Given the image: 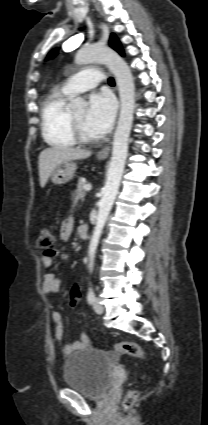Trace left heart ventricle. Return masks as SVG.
<instances>
[{
	"label": "left heart ventricle",
	"instance_id": "b2bd125f",
	"mask_svg": "<svg viewBox=\"0 0 208 425\" xmlns=\"http://www.w3.org/2000/svg\"><path fill=\"white\" fill-rule=\"evenodd\" d=\"M74 117L78 120V122L80 123V126L83 130V132L85 133L86 136L90 137V138H95L96 136L93 135L86 127L85 125V115H86V111L85 110H79L76 112H73Z\"/></svg>",
	"mask_w": 208,
	"mask_h": 425
}]
</instances>
